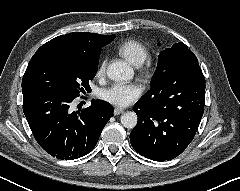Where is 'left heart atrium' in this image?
Listing matches in <instances>:
<instances>
[{
	"label": "left heart atrium",
	"instance_id": "1",
	"mask_svg": "<svg viewBox=\"0 0 240 191\" xmlns=\"http://www.w3.org/2000/svg\"><path fill=\"white\" fill-rule=\"evenodd\" d=\"M141 94L142 87L137 83L116 82L102 91L101 98L116 107H126Z\"/></svg>",
	"mask_w": 240,
	"mask_h": 191
}]
</instances>
